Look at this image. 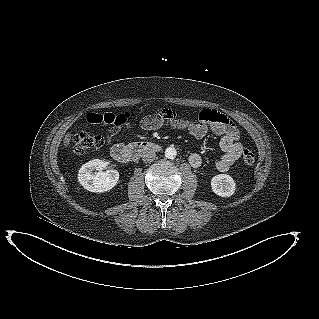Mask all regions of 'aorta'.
<instances>
[{"label": "aorta", "instance_id": "1", "mask_svg": "<svg viewBox=\"0 0 319 319\" xmlns=\"http://www.w3.org/2000/svg\"><path fill=\"white\" fill-rule=\"evenodd\" d=\"M177 155V151L174 147L170 146L165 150V157L168 159H174Z\"/></svg>", "mask_w": 319, "mask_h": 319}]
</instances>
